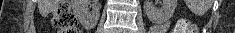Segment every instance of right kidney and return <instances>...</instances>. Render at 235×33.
I'll return each instance as SVG.
<instances>
[{
    "label": "right kidney",
    "mask_w": 235,
    "mask_h": 33,
    "mask_svg": "<svg viewBox=\"0 0 235 33\" xmlns=\"http://www.w3.org/2000/svg\"><path fill=\"white\" fill-rule=\"evenodd\" d=\"M86 5H87V0H74L73 1L74 10L81 20H84V21L91 20L93 23H96L100 15L99 10L95 9L94 11L90 12L86 8Z\"/></svg>",
    "instance_id": "right-kidney-1"
}]
</instances>
